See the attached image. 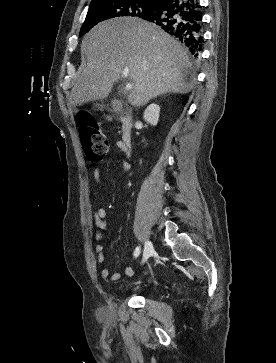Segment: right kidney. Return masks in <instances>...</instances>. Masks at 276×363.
<instances>
[{"mask_svg": "<svg viewBox=\"0 0 276 363\" xmlns=\"http://www.w3.org/2000/svg\"><path fill=\"white\" fill-rule=\"evenodd\" d=\"M160 107L159 105L152 103L144 111V119L149 124L156 126L159 121Z\"/></svg>", "mask_w": 276, "mask_h": 363, "instance_id": "right-kidney-1", "label": "right kidney"}]
</instances>
